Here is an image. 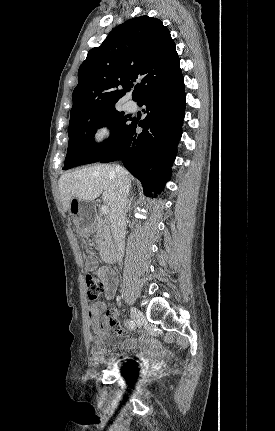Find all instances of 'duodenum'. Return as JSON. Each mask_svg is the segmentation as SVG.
Returning a JSON list of instances; mask_svg holds the SVG:
<instances>
[{
  "label": "duodenum",
  "instance_id": "duodenum-1",
  "mask_svg": "<svg viewBox=\"0 0 275 431\" xmlns=\"http://www.w3.org/2000/svg\"><path fill=\"white\" fill-rule=\"evenodd\" d=\"M101 258L106 263H114L118 258L117 247L113 242L107 243L101 249Z\"/></svg>",
  "mask_w": 275,
  "mask_h": 431
}]
</instances>
